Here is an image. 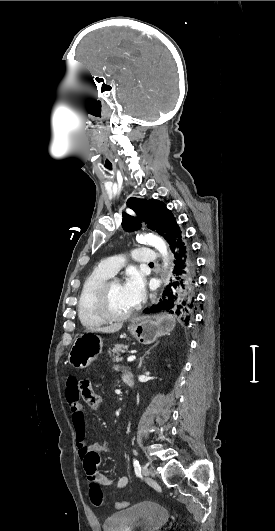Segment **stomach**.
I'll return each mask as SVG.
<instances>
[{
	"instance_id": "0dacf381",
	"label": "stomach",
	"mask_w": 275,
	"mask_h": 531,
	"mask_svg": "<svg viewBox=\"0 0 275 531\" xmlns=\"http://www.w3.org/2000/svg\"><path fill=\"white\" fill-rule=\"evenodd\" d=\"M176 325L173 315H157V317H140L131 321L129 331L134 339L141 345H150L162 335H170ZM103 341L99 335L93 331H86L75 339L70 353L68 363L75 369H86L102 353Z\"/></svg>"
}]
</instances>
